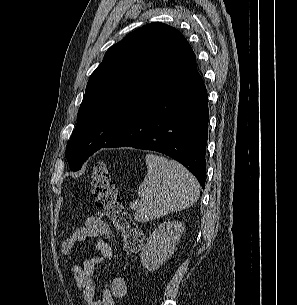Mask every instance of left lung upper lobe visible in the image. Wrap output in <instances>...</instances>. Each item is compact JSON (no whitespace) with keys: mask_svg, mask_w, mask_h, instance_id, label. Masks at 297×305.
I'll return each mask as SVG.
<instances>
[{"mask_svg":"<svg viewBox=\"0 0 297 305\" xmlns=\"http://www.w3.org/2000/svg\"><path fill=\"white\" fill-rule=\"evenodd\" d=\"M193 71H197L193 49L177 29L163 23L147 24L109 48L89 78L66 146L70 169H81L110 140L150 88Z\"/></svg>","mask_w":297,"mask_h":305,"instance_id":"1","label":"left lung upper lobe"}]
</instances>
